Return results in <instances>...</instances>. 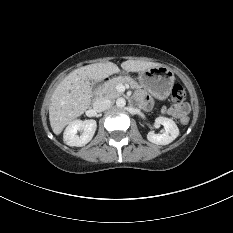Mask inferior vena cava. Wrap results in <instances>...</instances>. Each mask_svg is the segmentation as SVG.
Returning <instances> with one entry per match:
<instances>
[{"label":"inferior vena cava","instance_id":"1","mask_svg":"<svg viewBox=\"0 0 233 233\" xmlns=\"http://www.w3.org/2000/svg\"><path fill=\"white\" fill-rule=\"evenodd\" d=\"M112 104V101L108 98H98L93 103V108L97 112H102L108 109Z\"/></svg>","mask_w":233,"mask_h":233}]
</instances>
